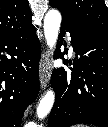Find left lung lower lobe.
<instances>
[{
	"instance_id": "0a47b994",
	"label": "left lung lower lobe",
	"mask_w": 108,
	"mask_h": 127,
	"mask_svg": "<svg viewBox=\"0 0 108 127\" xmlns=\"http://www.w3.org/2000/svg\"><path fill=\"white\" fill-rule=\"evenodd\" d=\"M67 32L73 50L80 58L73 60L71 72L64 68L53 71L52 86L56 98L48 127L81 123L108 127V34L62 17L56 58H62L60 46Z\"/></svg>"
}]
</instances>
